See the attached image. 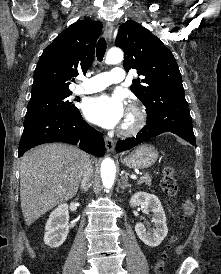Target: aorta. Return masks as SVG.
<instances>
[{
    "label": "aorta",
    "mask_w": 221,
    "mask_h": 274,
    "mask_svg": "<svg viewBox=\"0 0 221 274\" xmlns=\"http://www.w3.org/2000/svg\"><path fill=\"white\" fill-rule=\"evenodd\" d=\"M123 52L118 48L110 49L106 55L107 64H117L123 60ZM116 166L111 158H105L101 163V179L103 186L110 189L114 183Z\"/></svg>",
    "instance_id": "obj_1"
}]
</instances>
